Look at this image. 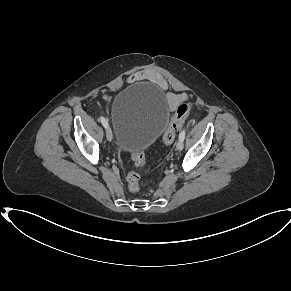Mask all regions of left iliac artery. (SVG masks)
<instances>
[{"label": "left iliac artery", "instance_id": "1", "mask_svg": "<svg viewBox=\"0 0 291 291\" xmlns=\"http://www.w3.org/2000/svg\"><path fill=\"white\" fill-rule=\"evenodd\" d=\"M185 135H186V129H183V130L181 131V133L179 134V139L184 140V139H185Z\"/></svg>", "mask_w": 291, "mask_h": 291}]
</instances>
